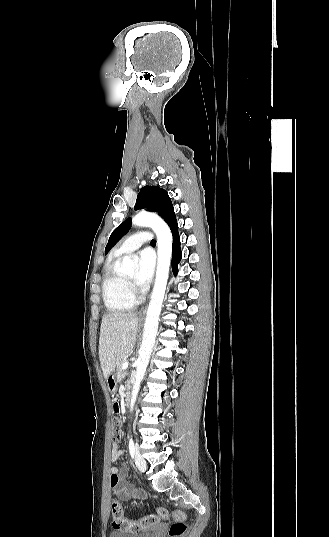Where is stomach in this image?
<instances>
[{
	"label": "stomach",
	"instance_id": "0dacf381",
	"mask_svg": "<svg viewBox=\"0 0 329 537\" xmlns=\"http://www.w3.org/2000/svg\"><path fill=\"white\" fill-rule=\"evenodd\" d=\"M118 382L119 380L117 379L116 374L111 373L107 378V385H108L109 391L114 392L116 390V386Z\"/></svg>",
	"mask_w": 329,
	"mask_h": 537
}]
</instances>
